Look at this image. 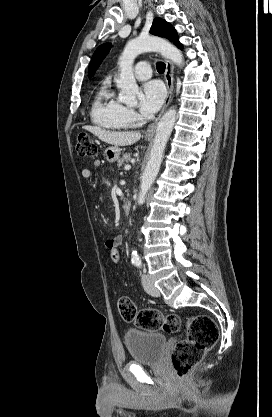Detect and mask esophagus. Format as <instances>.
I'll return each instance as SVG.
<instances>
[{
	"label": "esophagus",
	"instance_id": "esophagus-1",
	"mask_svg": "<svg viewBox=\"0 0 272 417\" xmlns=\"http://www.w3.org/2000/svg\"><path fill=\"white\" fill-rule=\"evenodd\" d=\"M165 64H166V69H165V82H166V86H167V97L166 100L164 102V106L160 112V114L158 115V117L148 126L145 135L146 136H153L155 133V129L158 123V120L160 118V116L163 114V112L167 109V107L169 106L171 100H172V95H173V89H174V77H173V73H174V67L173 64L169 61V60H165Z\"/></svg>",
	"mask_w": 272,
	"mask_h": 417
}]
</instances>
